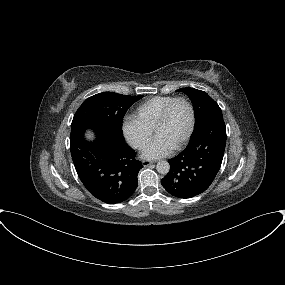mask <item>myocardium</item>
Returning <instances> with one entry per match:
<instances>
[{"label": "myocardium", "instance_id": "1", "mask_svg": "<svg viewBox=\"0 0 285 285\" xmlns=\"http://www.w3.org/2000/svg\"><path fill=\"white\" fill-rule=\"evenodd\" d=\"M178 102H183L188 107L189 112H190V124H189V128H188V131H187L185 137L183 138V140L178 145L173 147L174 150H180L181 148H183L188 143V141L190 140V138L193 134V131L195 128V110H194L192 103L185 97H182V96L175 97L172 101H170L165 106V108L161 112V114H160L159 118L157 119L156 124L153 128V132H154V134H156L157 130L166 122L172 107Z\"/></svg>", "mask_w": 285, "mask_h": 285}]
</instances>
